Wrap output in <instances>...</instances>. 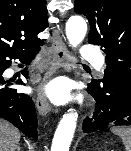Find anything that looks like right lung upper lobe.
I'll list each match as a JSON object with an SVG mask.
<instances>
[{
    "instance_id": "obj_1",
    "label": "right lung upper lobe",
    "mask_w": 131,
    "mask_h": 151,
    "mask_svg": "<svg viewBox=\"0 0 131 151\" xmlns=\"http://www.w3.org/2000/svg\"><path fill=\"white\" fill-rule=\"evenodd\" d=\"M47 27L46 0H0V56L40 48Z\"/></svg>"
}]
</instances>
